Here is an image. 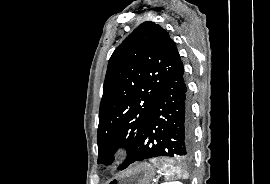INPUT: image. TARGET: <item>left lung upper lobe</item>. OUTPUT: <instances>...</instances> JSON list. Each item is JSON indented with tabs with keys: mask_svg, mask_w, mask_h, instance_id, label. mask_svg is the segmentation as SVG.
Listing matches in <instances>:
<instances>
[{
	"mask_svg": "<svg viewBox=\"0 0 270 184\" xmlns=\"http://www.w3.org/2000/svg\"><path fill=\"white\" fill-rule=\"evenodd\" d=\"M168 32L151 21L139 25L113 52L107 68L97 131L98 163L109 164L125 147L136 152L155 102L179 62Z\"/></svg>",
	"mask_w": 270,
	"mask_h": 184,
	"instance_id": "5c2ea615",
	"label": "left lung upper lobe"
}]
</instances>
